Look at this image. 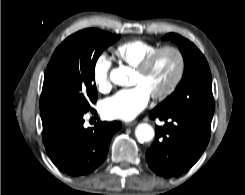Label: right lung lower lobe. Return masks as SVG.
<instances>
[{
	"mask_svg": "<svg viewBox=\"0 0 245 195\" xmlns=\"http://www.w3.org/2000/svg\"><path fill=\"white\" fill-rule=\"evenodd\" d=\"M83 115L43 123L49 158L60 171L72 176L95 170L104 161L113 134L121 128V123L114 121L85 129Z\"/></svg>",
	"mask_w": 245,
	"mask_h": 195,
	"instance_id": "right-lung-lower-lobe-1",
	"label": "right lung lower lobe"
}]
</instances>
